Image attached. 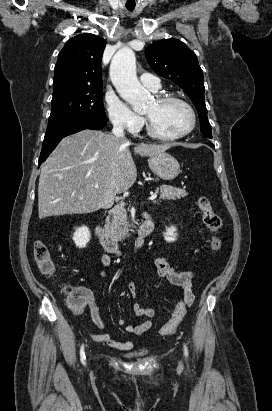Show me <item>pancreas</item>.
Returning a JSON list of instances; mask_svg holds the SVG:
<instances>
[{"mask_svg":"<svg viewBox=\"0 0 272 411\" xmlns=\"http://www.w3.org/2000/svg\"><path fill=\"white\" fill-rule=\"evenodd\" d=\"M160 193V199L176 200L186 197L188 193L184 189L176 188L170 185H162L157 189ZM106 230L115 239L122 241L128 232L127 211L123 206H115L106 218Z\"/></svg>","mask_w":272,"mask_h":411,"instance_id":"1","label":"pancreas"}]
</instances>
